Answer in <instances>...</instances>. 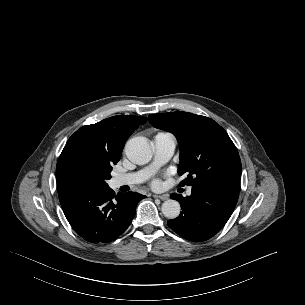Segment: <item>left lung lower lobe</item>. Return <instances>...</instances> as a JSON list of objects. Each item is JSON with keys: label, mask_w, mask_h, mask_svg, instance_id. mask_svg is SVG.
Here are the masks:
<instances>
[{"label": "left lung lower lobe", "mask_w": 305, "mask_h": 305, "mask_svg": "<svg viewBox=\"0 0 305 305\" xmlns=\"http://www.w3.org/2000/svg\"><path fill=\"white\" fill-rule=\"evenodd\" d=\"M239 179L213 180L192 187L191 195L173 193L181 213L168 221L169 227L191 241H205L218 233L232 215L239 197Z\"/></svg>", "instance_id": "1"}]
</instances>
